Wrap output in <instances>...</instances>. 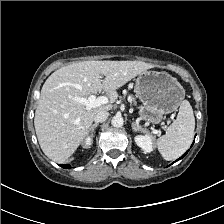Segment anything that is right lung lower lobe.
I'll use <instances>...</instances> for the list:
<instances>
[{"mask_svg":"<svg viewBox=\"0 0 224 224\" xmlns=\"http://www.w3.org/2000/svg\"><path fill=\"white\" fill-rule=\"evenodd\" d=\"M63 168H66V169H70L71 168V166L70 165H68V164H64V165H61Z\"/></svg>","mask_w":224,"mask_h":224,"instance_id":"obj_1","label":"right lung lower lobe"}]
</instances>
